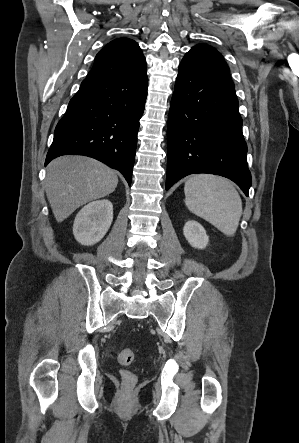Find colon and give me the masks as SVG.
<instances>
[{
    "label": "colon",
    "instance_id": "colon-1",
    "mask_svg": "<svg viewBox=\"0 0 299 443\" xmlns=\"http://www.w3.org/2000/svg\"><path fill=\"white\" fill-rule=\"evenodd\" d=\"M117 360L123 366H128L134 360V353L130 349H122L117 353ZM122 383L126 388L133 387L137 382L136 375L129 370H122Z\"/></svg>",
    "mask_w": 299,
    "mask_h": 443
}]
</instances>
